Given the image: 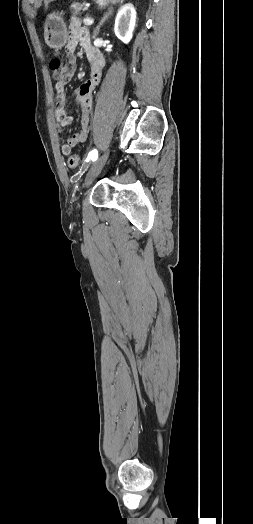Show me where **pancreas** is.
Instances as JSON below:
<instances>
[{
  "instance_id": "obj_1",
  "label": "pancreas",
  "mask_w": 253,
  "mask_h": 524,
  "mask_svg": "<svg viewBox=\"0 0 253 524\" xmlns=\"http://www.w3.org/2000/svg\"><path fill=\"white\" fill-rule=\"evenodd\" d=\"M87 3L86 2H81V3H78V2H75L71 5V12H72V16L75 17L79 14H81V12L84 10V9H87Z\"/></svg>"
}]
</instances>
